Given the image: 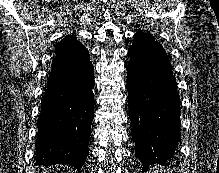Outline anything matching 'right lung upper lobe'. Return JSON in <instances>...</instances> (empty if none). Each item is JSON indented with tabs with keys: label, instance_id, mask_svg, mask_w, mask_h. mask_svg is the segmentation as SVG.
I'll return each mask as SVG.
<instances>
[{
	"label": "right lung upper lobe",
	"instance_id": "obj_1",
	"mask_svg": "<svg viewBox=\"0 0 219 173\" xmlns=\"http://www.w3.org/2000/svg\"><path fill=\"white\" fill-rule=\"evenodd\" d=\"M56 60L70 62L73 57L81 56L88 51L74 36H67L55 46Z\"/></svg>",
	"mask_w": 219,
	"mask_h": 173
}]
</instances>
